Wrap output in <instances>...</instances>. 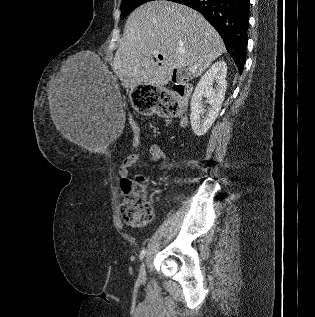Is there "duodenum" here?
Here are the masks:
<instances>
[{"instance_id":"duodenum-1","label":"duodenum","mask_w":315,"mask_h":317,"mask_svg":"<svg viewBox=\"0 0 315 317\" xmlns=\"http://www.w3.org/2000/svg\"><path fill=\"white\" fill-rule=\"evenodd\" d=\"M173 82H174V83H177V82H178V79H177V76H176V75L173 77Z\"/></svg>"}]
</instances>
